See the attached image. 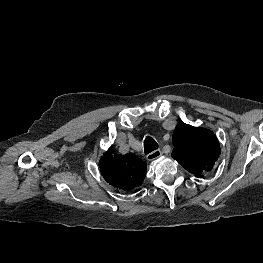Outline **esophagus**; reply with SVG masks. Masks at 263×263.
Returning a JSON list of instances; mask_svg holds the SVG:
<instances>
[{
	"label": "esophagus",
	"instance_id": "obj_1",
	"mask_svg": "<svg viewBox=\"0 0 263 263\" xmlns=\"http://www.w3.org/2000/svg\"><path fill=\"white\" fill-rule=\"evenodd\" d=\"M161 155H162L161 150L157 149V150L149 153L146 158L148 161H153V160L159 158Z\"/></svg>",
	"mask_w": 263,
	"mask_h": 263
}]
</instances>
